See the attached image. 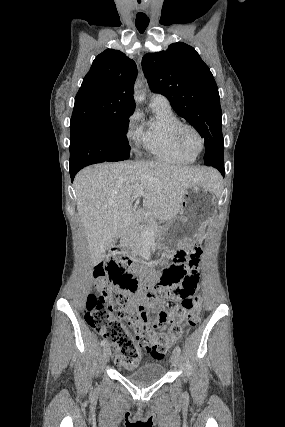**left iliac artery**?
<instances>
[{
    "label": "left iliac artery",
    "instance_id": "1",
    "mask_svg": "<svg viewBox=\"0 0 285 427\" xmlns=\"http://www.w3.org/2000/svg\"><path fill=\"white\" fill-rule=\"evenodd\" d=\"M175 351L178 352L179 354L181 353V348L179 346L175 347Z\"/></svg>",
    "mask_w": 285,
    "mask_h": 427
}]
</instances>
